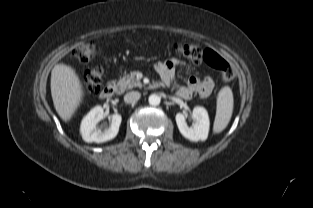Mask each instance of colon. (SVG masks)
<instances>
[{
    "instance_id": "colon-1",
    "label": "colon",
    "mask_w": 313,
    "mask_h": 208,
    "mask_svg": "<svg viewBox=\"0 0 313 208\" xmlns=\"http://www.w3.org/2000/svg\"><path fill=\"white\" fill-rule=\"evenodd\" d=\"M175 51L183 57L195 63L205 62L212 68L216 69L225 82H230L235 77V72L230 64L213 50H202L193 44H176ZM73 57L80 63H88L95 54V45L92 42H83L73 50ZM103 71L100 67L87 70L84 75V85L88 92L97 93Z\"/></svg>"
}]
</instances>
